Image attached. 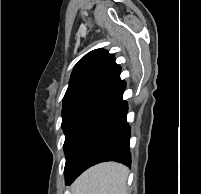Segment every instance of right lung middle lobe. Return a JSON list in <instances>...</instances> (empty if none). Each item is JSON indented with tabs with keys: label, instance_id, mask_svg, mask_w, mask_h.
<instances>
[{
	"label": "right lung middle lobe",
	"instance_id": "dd1d6c3e",
	"mask_svg": "<svg viewBox=\"0 0 201 194\" xmlns=\"http://www.w3.org/2000/svg\"><path fill=\"white\" fill-rule=\"evenodd\" d=\"M90 101L87 100H80L69 103L67 105H63L62 110V128L66 133L71 126L73 120L80 112V110L89 103Z\"/></svg>",
	"mask_w": 201,
	"mask_h": 194
}]
</instances>
